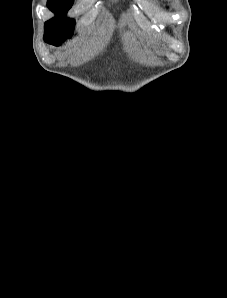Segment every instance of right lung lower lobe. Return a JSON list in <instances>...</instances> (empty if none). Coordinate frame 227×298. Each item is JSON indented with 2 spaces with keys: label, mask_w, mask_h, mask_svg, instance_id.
I'll list each match as a JSON object with an SVG mask.
<instances>
[{
  "label": "right lung lower lobe",
  "mask_w": 227,
  "mask_h": 298,
  "mask_svg": "<svg viewBox=\"0 0 227 298\" xmlns=\"http://www.w3.org/2000/svg\"><path fill=\"white\" fill-rule=\"evenodd\" d=\"M45 40V42H47V43H49V44H52L53 45V43L52 42H50V41H48L47 39H44Z\"/></svg>",
  "instance_id": "right-lung-lower-lobe-1"
}]
</instances>
